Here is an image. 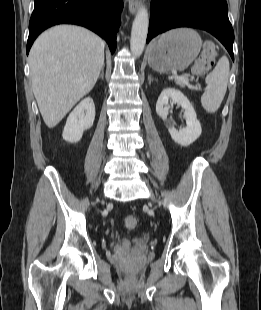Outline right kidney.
<instances>
[{
	"instance_id": "right-kidney-1",
	"label": "right kidney",
	"mask_w": 261,
	"mask_h": 310,
	"mask_svg": "<svg viewBox=\"0 0 261 310\" xmlns=\"http://www.w3.org/2000/svg\"><path fill=\"white\" fill-rule=\"evenodd\" d=\"M95 119V106L92 98L82 100L67 118L63 130V139L70 143L81 140L83 132L93 126Z\"/></svg>"
}]
</instances>
